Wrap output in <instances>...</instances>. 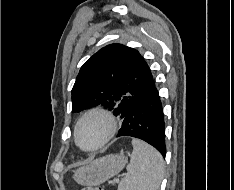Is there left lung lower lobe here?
Segmentation results:
<instances>
[{"label":"left lung lower lobe","instance_id":"obj_1","mask_svg":"<svg viewBox=\"0 0 234 190\" xmlns=\"http://www.w3.org/2000/svg\"><path fill=\"white\" fill-rule=\"evenodd\" d=\"M158 91L151 74L146 88L137 96L126 116L117 137L131 136L142 139L166 155L165 124Z\"/></svg>","mask_w":234,"mask_h":190}]
</instances>
